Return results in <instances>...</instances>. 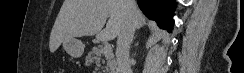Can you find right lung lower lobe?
<instances>
[{
  "instance_id": "98d812e1",
  "label": "right lung lower lobe",
  "mask_w": 244,
  "mask_h": 73,
  "mask_svg": "<svg viewBox=\"0 0 244 73\" xmlns=\"http://www.w3.org/2000/svg\"><path fill=\"white\" fill-rule=\"evenodd\" d=\"M143 13L152 20H155L162 28L171 32L173 28V0H137Z\"/></svg>"
}]
</instances>
